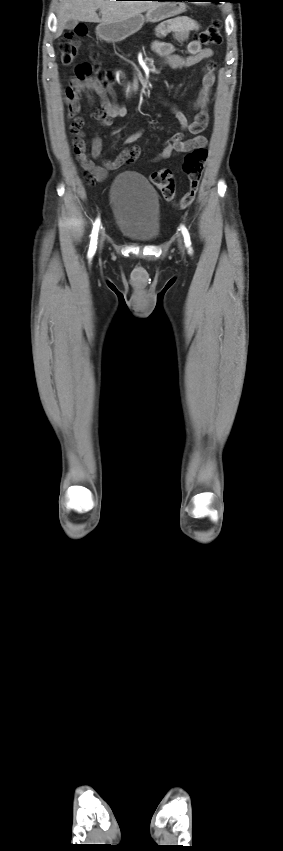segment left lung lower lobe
<instances>
[{
	"label": "left lung lower lobe",
	"mask_w": 283,
	"mask_h": 851,
	"mask_svg": "<svg viewBox=\"0 0 283 851\" xmlns=\"http://www.w3.org/2000/svg\"><path fill=\"white\" fill-rule=\"evenodd\" d=\"M168 1H170V0H168ZM181 1H197V0H181ZM207 1L216 2V0H207Z\"/></svg>",
	"instance_id": "0a47b994"
}]
</instances>
